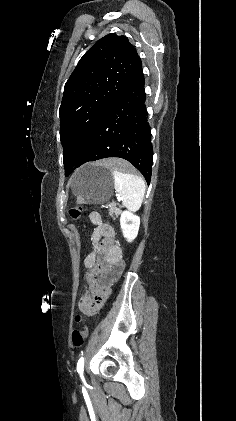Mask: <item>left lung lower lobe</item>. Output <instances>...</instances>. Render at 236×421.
I'll list each match as a JSON object with an SVG mask.
<instances>
[{
	"mask_svg": "<svg viewBox=\"0 0 236 421\" xmlns=\"http://www.w3.org/2000/svg\"><path fill=\"white\" fill-rule=\"evenodd\" d=\"M145 101L144 75L138 56L123 89L101 117L75 165H64L65 175L89 161L120 157L131 162L149 183L153 152Z\"/></svg>",
	"mask_w": 236,
	"mask_h": 421,
	"instance_id": "left-lung-lower-lobe-1",
	"label": "left lung lower lobe"
}]
</instances>
